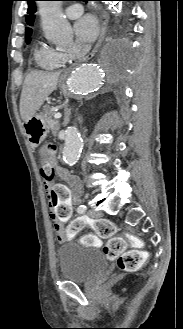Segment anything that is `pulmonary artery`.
<instances>
[{"label":"pulmonary artery","instance_id":"obj_1","mask_svg":"<svg viewBox=\"0 0 183 329\" xmlns=\"http://www.w3.org/2000/svg\"><path fill=\"white\" fill-rule=\"evenodd\" d=\"M83 6L79 3H74L66 7L65 15L69 19H75L83 13Z\"/></svg>","mask_w":183,"mask_h":329}]
</instances>
